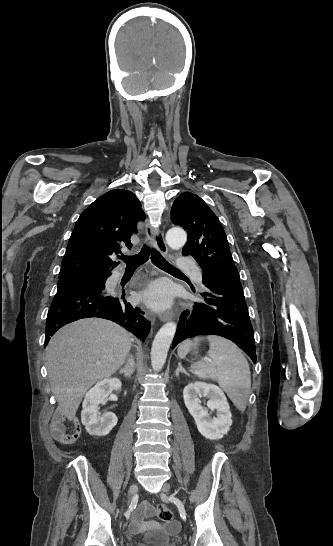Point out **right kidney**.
<instances>
[{
  "label": "right kidney",
  "mask_w": 333,
  "mask_h": 546,
  "mask_svg": "<svg viewBox=\"0 0 333 546\" xmlns=\"http://www.w3.org/2000/svg\"><path fill=\"white\" fill-rule=\"evenodd\" d=\"M122 387L118 378H106L91 388L85 395L81 412V421L86 431L92 436H106L117 424V417L112 412H99V405L106 403V398L113 391H120Z\"/></svg>",
  "instance_id": "right-kidney-1"
}]
</instances>
